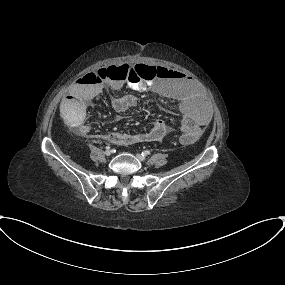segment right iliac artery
I'll return each mask as SVG.
<instances>
[{"label": "right iliac artery", "instance_id": "1", "mask_svg": "<svg viewBox=\"0 0 285 285\" xmlns=\"http://www.w3.org/2000/svg\"><path fill=\"white\" fill-rule=\"evenodd\" d=\"M111 147L110 146H106V149L109 150Z\"/></svg>", "mask_w": 285, "mask_h": 285}]
</instances>
